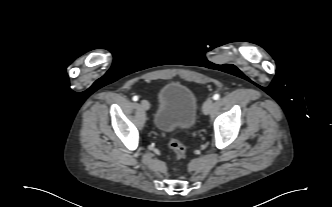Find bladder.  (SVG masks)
I'll return each mask as SVG.
<instances>
[{
	"instance_id": "31cf9c89",
	"label": "bladder",
	"mask_w": 332,
	"mask_h": 207,
	"mask_svg": "<svg viewBox=\"0 0 332 207\" xmlns=\"http://www.w3.org/2000/svg\"><path fill=\"white\" fill-rule=\"evenodd\" d=\"M154 126L161 132L189 129L194 126L198 101L187 85L171 82L163 85L157 94Z\"/></svg>"
}]
</instances>
